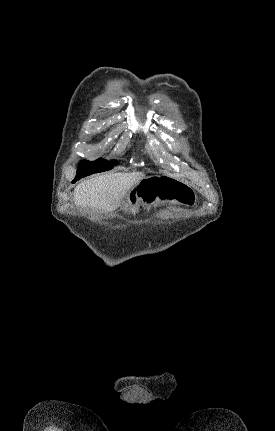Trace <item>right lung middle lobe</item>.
Listing matches in <instances>:
<instances>
[{"label": "right lung middle lobe", "mask_w": 275, "mask_h": 431, "mask_svg": "<svg viewBox=\"0 0 275 431\" xmlns=\"http://www.w3.org/2000/svg\"><path fill=\"white\" fill-rule=\"evenodd\" d=\"M114 164L116 165L117 161H114ZM110 169H112V165H106L102 161V159H98L94 162L82 161L79 165L76 177L73 181L76 182L80 178L85 177L87 175H91L93 173L104 172V171H107Z\"/></svg>", "instance_id": "dd1d6c3e"}]
</instances>
